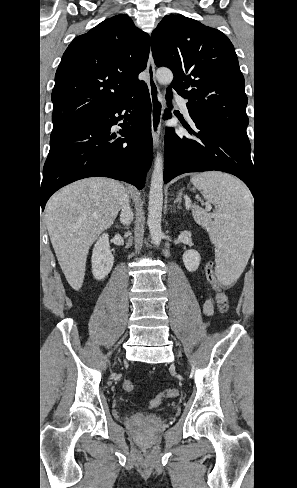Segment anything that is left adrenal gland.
I'll return each mask as SVG.
<instances>
[{
  "mask_svg": "<svg viewBox=\"0 0 297 488\" xmlns=\"http://www.w3.org/2000/svg\"><path fill=\"white\" fill-rule=\"evenodd\" d=\"M182 193H183V190H180L179 193H178V196L177 198L175 199L174 203L178 204V208H180V205L182 203Z\"/></svg>",
  "mask_w": 297,
  "mask_h": 488,
  "instance_id": "left-adrenal-gland-1",
  "label": "left adrenal gland"
}]
</instances>
